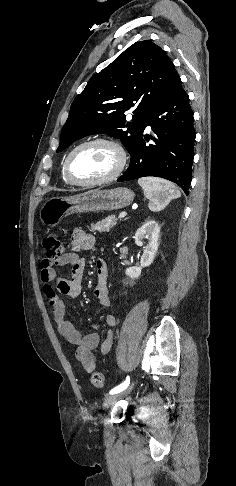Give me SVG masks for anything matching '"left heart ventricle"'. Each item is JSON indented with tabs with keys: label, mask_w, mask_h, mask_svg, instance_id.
Returning a JSON list of instances; mask_svg holds the SVG:
<instances>
[{
	"label": "left heart ventricle",
	"mask_w": 236,
	"mask_h": 486,
	"mask_svg": "<svg viewBox=\"0 0 236 486\" xmlns=\"http://www.w3.org/2000/svg\"><path fill=\"white\" fill-rule=\"evenodd\" d=\"M118 155L108 145L94 144L80 149L72 158V175L82 181L99 179L109 175L117 166Z\"/></svg>",
	"instance_id": "b2bd125f"
}]
</instances>
